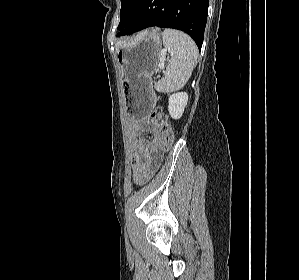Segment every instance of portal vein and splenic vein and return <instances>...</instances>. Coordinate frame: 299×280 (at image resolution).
<instances>
[{"mask_svg": "<svg viewBox=\"0 0 299 280\" xmlns=\"http://www.w3.org/2000/svg\"><path fill=\"white\" fill-rule=\"evenodd\" d=\"M159 68H160V69H163V68H164V63H161V64L159 65Z\"/></svg>", "mask_w": 299, "mask_h": 280, "instance_id": "1", "label": "portal vein and splenic vein"}]
</instances>
